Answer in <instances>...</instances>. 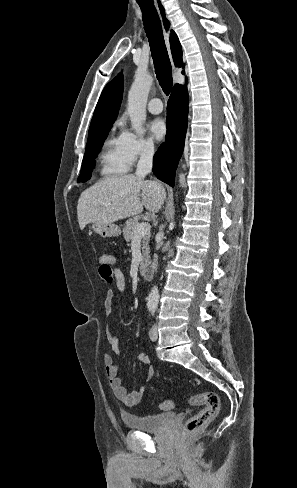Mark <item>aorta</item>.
<instances>
[{"instance_id": "obj_1", "label": "aorta", "mask_w": 297, "mask_h": 488, "mask_svg": "<svg viewBox=\"0 0 297 488\" xmlns=\"http://www.w3.org/2000/svg\"><path fill=\"white\" fill-rule=\"evenodd\" d=\"M153 82L149 73L137 72L134 82L128 93L127 110L131 120V127L137 134L142 133V127L146 121V103ZM159 302V290L154 286L148 294L147 305L156 307Z\"/></svg>"}]
</instances>
